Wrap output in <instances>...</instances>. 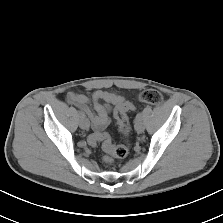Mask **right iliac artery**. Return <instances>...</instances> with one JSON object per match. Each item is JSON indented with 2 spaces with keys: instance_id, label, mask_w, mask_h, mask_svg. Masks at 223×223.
<instances>
[{
  "instance_id": "obj_1",
  "label": "right iliac artery",
  "mask_w": 223,
  "mask_h": 223,
  "mask_svg": "<svg viewBox=\"0 0 223 223\" xmlns=\"http://www.w3.org/2000/svg\"><path fill=\"white\" fill-rule=\"evenodd\" d=\"M85 115L83 114V112H80V118L84 117Z\"/></svg>"
}]
</instances>
